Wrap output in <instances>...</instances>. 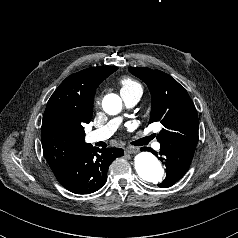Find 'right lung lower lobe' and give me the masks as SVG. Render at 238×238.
Listing matches in <instances>:
<instances>
[{"instance_id": "98d812e1", "label": "right lung lower lobe", "mask_w": 238, "mask_h": 238, "mask_svg": "<svg viewBox=\"0 0 238 238\" xmlns=\"http://www.w3.org/2000/svg\"><path fill=\"white\" fill-rule=\"evenodd\" d=\"M123 155L121 148L99 149L89 146L69 165L54 174L62 186L73 193H93L106 182L108 167L112 161Z\"/></svg>"}]
</instances>
